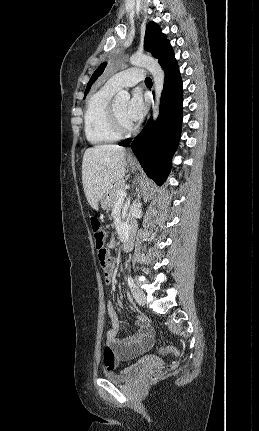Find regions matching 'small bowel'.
I'll return each mask as SVG.
<instances>
[{
    "label": "small bowel",
    "instance_id": "c3829d8e",
    "mask_svg": "<svg viewBox=\"0 0 259 431\" xmlns=\"http://www.w3.org/2000/svg\"><path fill=\"white\" fill-rule=\"evenodd\" d=\"M112 267L101 268L103 279L107 284L114 280ZM106 309L111 320V328L106 336L110 353L104 352V363L108 368H114L121 360L134 358L151 347L152 329L146 320L139 316L134 322L137 332L134 335L119 339L120 323L112 302H107Z\"/></svg>",
    "mask_w": 259,
    "mask_h": 431
}]
</instances>
